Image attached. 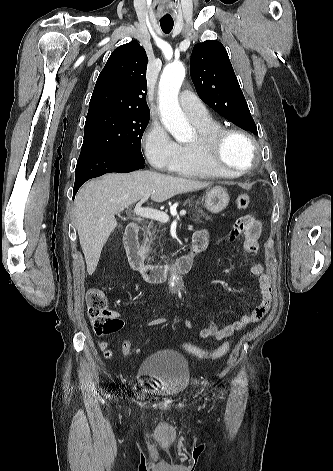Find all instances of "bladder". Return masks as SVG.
I'll return each mask as SVG.
<instances>
[{
    "label": "bladder",
    "instance_id": "1",
    "mask_svg": "<svg viewBox=\"0 0 333 471\" xmlns=\"http://www.w3.org/2000/svg\"><path fill=\"white\" fill-rule=\"evenodd\" d=\"M138 376L158 381V393L177 396L190 383V369L186 358L177 351L165 349L147 356L138 367Z\"/></svg>",
    "mask_w": 333,
    "mask_h": 471
}]
</instances>
